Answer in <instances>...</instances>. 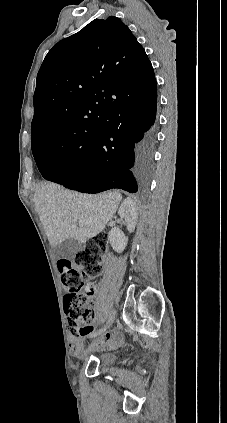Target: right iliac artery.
Segmentation results:
<instances>
[{"label": "right iliac artery", "mask_w": 227, "mask_h": 423, "mask_svg": "<svg viewBox=\"0 0 227 423\" xmlns=\"http://www.w3.org/2000/svg\"><path fill=\"white\" fill-rule=\"evenodd\" d=\"M105 328L100 329L99 331H96L94 333H92L91 335H89L90 337H95L97 335H100L103 331H105Z\"/></svg>", "instance_id": "obj_1"}]
</instances>
